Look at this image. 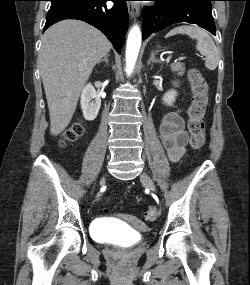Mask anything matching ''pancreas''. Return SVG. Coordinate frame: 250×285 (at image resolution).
<instances>
[{
	"label": "pancreas",
	"instance_id": "1",
	"mask_svg": "<svg viewBox=\"0 0 250 285\" xmlns=\"http://www.w3.org/2000/svg\"><path fill=\"white\" fill-rule=\"evenodd\" d=\"M171 70L176 72L178 76H182L185 73V66L183 63L177 62L170 65Z\"/></svg>",
	"mask_w": 250,
	"mask_h": 285
}]
</instances>
